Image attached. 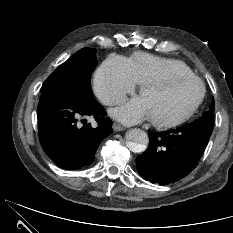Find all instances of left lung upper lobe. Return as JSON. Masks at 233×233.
Returning <instances> with one entry per match:
<instances>
[{"mask_svg": "<svg viewBox=\"0 0 233 233\" xmlns=\"http://www.w3.org/2000/svg\"><path fill=\"white\" fill-rule=\"evenodd\" d=\"M213 110H214V101L212 102L210 109L206 111L202 117L194 122L195 125L205 127L209 130L213 128Z\"/></svg>", "mask_w": 233, "mask_h": 233, "instance_id": "obj_1", "label": "left lung upper lobe"}]
</instances>
